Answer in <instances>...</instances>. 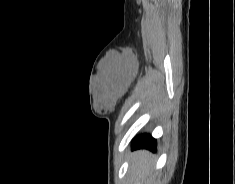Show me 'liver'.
Instances as JSON below:
<instances>
[{
  "instance_id": "obj_1",
  "label": "liver",
  "mask_w": 235,
  "mask_h": 184,
  "mask_svg": "<svg viewBox=\"0 0 235 184\" xmlns=\"http://www.w3.org/2000/svg\"><path fill=\"white\" fill-rule=\"evenodd\" d=\"M153 164L154 160L150 152H146V150L134 152L131 166L129 168L133 182H139V180H144V178H147L146 184H151L149 174L152 170Z\"/></svg>"
}]
</instances>
